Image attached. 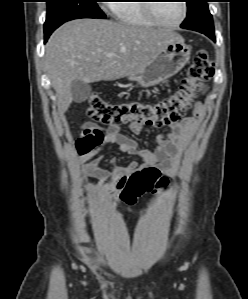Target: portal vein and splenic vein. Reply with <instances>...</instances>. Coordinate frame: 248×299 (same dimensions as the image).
Returning <instances> with one entry per match:
<instances>
[{"label":"portal vein and splenic vein","instance_id":"portal-vein-and-splenic-vein-1","mask_svg":"<svg viewBox=\"0 0 248 299\" xmlns=\"http://www.w3.org/2000/svg\"><path fill=\"white\" fill-rule=\"evenodd\" d=\"M107 56H108V57H112L113 54H112V53H108Z\"/></svg>","mask_w":248,"mask_h":299}]
</instances>
